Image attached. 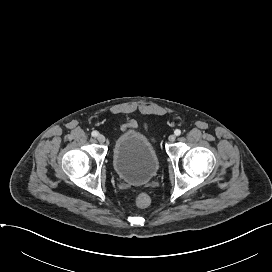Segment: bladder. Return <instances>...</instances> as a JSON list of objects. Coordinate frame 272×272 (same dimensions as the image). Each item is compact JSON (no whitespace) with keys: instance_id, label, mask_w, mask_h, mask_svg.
Returning a JSON list of instances; mask_svg holds the SVG:
<instances>
[{"instance_id":"1","label":"bladder","mask_w":272,"mask_h":272,"mask_svg":"<svg viewBox=\"0 0 272 272\" xmlns=\"http://www.w3.org/2000/svg\"><path fill=\"white\" fill-rule=\"evenodd\" d=\"M112 160L119 178L134 185L150 181L160 164L152 143L136 131L125 132L117 138Z\"/></svg>"}]
</instances>
